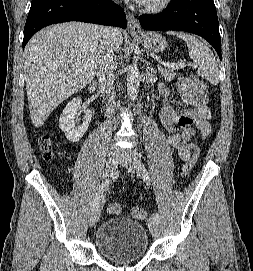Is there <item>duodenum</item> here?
I'll return each instance as SVG.
<instances>
[{"mask_svg":"<svg viewBox=\"0 0 253 271\" xmlns=\"http://www.w3.org/2000/svg\"><path fill=\"white\" fill-rule=\"evenodd\" d=\"M95 88H96V83H92L90 86V91L94 92Z\"/></svg>","mask_w":253,"mask_h":271,"instance_id":"410a0bca","label":"duodenum"}]
</instances>
